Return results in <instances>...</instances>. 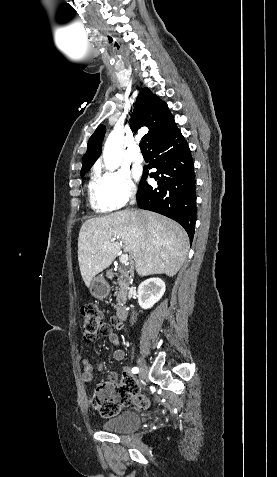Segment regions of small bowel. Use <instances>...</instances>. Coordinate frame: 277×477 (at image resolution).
I'll list each match as a JSON object with an SVG mask.
<instances>
[{"instance_id":"c3829d8e","label":"small bowel","mask_w":277,"mask_h":477,"mask_svg":"<svg viewBox=\"0 0 277 477\" xmlns=\"http://www.w3.org/2000/svg\"><path fill=\"white\" fill-rule=\"evenodd\" d=\"M122 327H123V323L115 317H112L110 319V324L102 323V326H101V333L105 335L108 338L109 342L115 346V349L112 353V357L116 361L122 360L125 356V352L121 348L119 336L113 331V328L119 330ZM82 366H83V374H82L83 382L85 384L92 383L95 378V371L90 359L87 357L83 358ZM102 369H103V364H100L98 366V370L101 371ZM123 378H124V381L131 380L136 384V382L129 376L128 369H124ZM108 380L110 382L118 383L119 375L115 372H111L108 375Z\"/></svg>"}]
</instances>
